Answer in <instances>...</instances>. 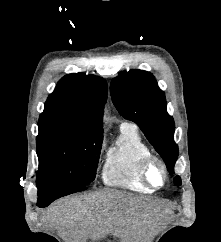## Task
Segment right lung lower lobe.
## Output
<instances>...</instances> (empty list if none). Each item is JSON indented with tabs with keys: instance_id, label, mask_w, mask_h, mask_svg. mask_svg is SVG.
Returning a JSON list of instances; mask_svg holds the SVG:
<instances>
[{
	"instance_id": "1",
	"label": "right lung lower lobe",
	"mask_w": 221,
	"mask_h": 242,
	"mask_svg": "<svg viewBox=\"0 0 221 242\" xmlns=\"http://www.w3.org/2000/svg\"><path fill=\"white\" fill-rule=\"evenodd\" d=\"M38 188V207H46L55 199L60 197L85 190V186H69V185H58L52 183H44L37 185Z\"/></svg>"
}]
</instances>
